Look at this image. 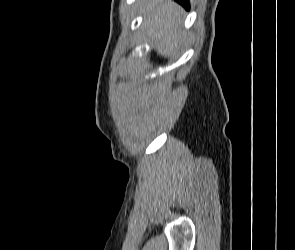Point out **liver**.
Wrapping results in <instances>:
<instances>
[{"label":"liver","mask_w":295,"mask_h":250,"mask_svg":"<svg viewBox=\"0 0 295 250\" xmlns=\"http://www.w3.org/2000/svg\"><path fill=\"white\" fill-rule=\"evenodd\" d=\"M143 25L152 39L157 53L171 56L182 39L181 7L170 0H148L142 6Z\"/></svg>","instance_id":"6515ba94"}]
</instances>
